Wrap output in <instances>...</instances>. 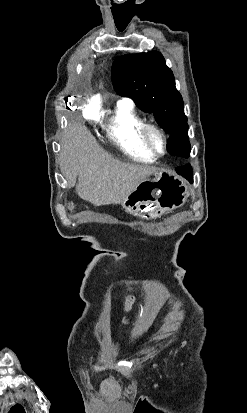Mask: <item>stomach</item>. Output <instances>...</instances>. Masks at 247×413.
Returning a JSON list of instances; mask_svg holds the SVG:
<instances>
[{"mask_svg": "<svg viewBox=\"0 0 247 413\" xmlns=\"http://www.w3.org/2000/svg\"><path fill=\"white\" fill-rule=\"evenodd\" d=\"M190 196L189 186L182 176L171 170L154 172L123 198L122 209L133 217L157 219L165 211L183 207Z\"/></svg>", "mask_w": 247, "mask_h": 413, "instance_id": "stomach-1", "label": "stomach"}]
</instances>
